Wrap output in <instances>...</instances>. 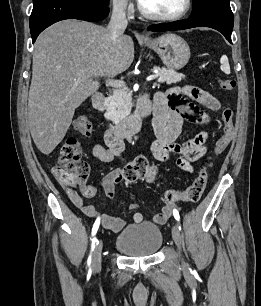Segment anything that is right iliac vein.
Segmentation results:
<instances>
[{
  "instance_id": "right-iliac-vein-1",
  "label": "right iliac vein",
  "mask_w": 261,
  "mask_h": 306,
  "mask_svg": "<svg viewBox=\"0 0 261 306\" xmlns=\"http://www.w3.org/2000/svg\"><path fill=\"white\" fill-rule=\"evenodd\" d=\"M102 248L103 243L101 240L97 241L93 260H92V269L93 271H98L101 268V262H102Z\"/></svg>"
}]
</instances>
